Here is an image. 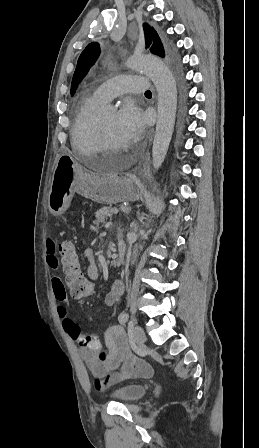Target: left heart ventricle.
I'll return each mask as SVG.
<instances>
[{
  "label": "left heart ventricle",
  "instance_id": "obj_1",
  "mask_svg": "<svg viewBox=\"0 0 259 448\" xmlns=\"http://www.w3.org/2000/svg\"><path fill=\"white\" fill-rule=\"evenodd\" d=\"M99 118L103 121L112 143L118 148H120L125 142V134L120 130V128L117 125V114L116 113L107 114ZM77 153L86 157L88 155L95 154V151L94 150L77 151Z\"/></svg>",
  "mask_w": 259,
  "mask_h": 448
}]
</instances>
